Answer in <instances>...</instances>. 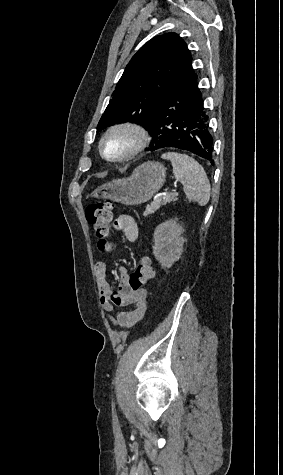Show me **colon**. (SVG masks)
Wrapping results in <instances>:
<instances>
[{
    "mask_svg": "<svg viewBox=\"0 0 283 475\" xmlns=\"http://www.w3.org/2000/svg\"><path fill=\"white\" fill-rule=\"evenodd\" d=\"M85 216L92 226L97 237V249L105 250L110 241L112 226V208L109 203L95 202L89 204L85 209ZM153 262L149 255L139 258L136 269L128 275V286L132 290L139 289L144 282L153 278Z\"/></svg>",
    "mask_w": 283,
    "mask_h": 475,
    "instance_id": "5ec220e1",
    "label": "colon"
}]
</instances>
